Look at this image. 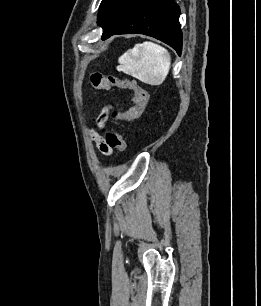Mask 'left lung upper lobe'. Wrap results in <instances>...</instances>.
Here are the masks:
<instances>
[{"instance_id":"1","label":"left lung upper lobe","mask_w":261,"mask_h":306,"mask_svg":"<svg viewBox=\"0 0 261 306\" xmlns=\"http://www.w3.org/2000/svg\"><path fill=\"white\" fill-rule=\"evenodd\" d=\"M133 0H102L98 12V24L103 29V35L110 32L125 9Z\"/></svg>"}]
</instances>
